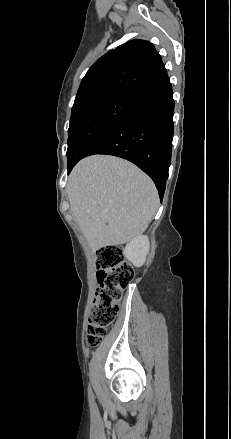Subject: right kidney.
Here are the masks:
<instances>
[{
    "label": "right kidney",
    "instance_id": "right-kidney-1",
    "mask_svg": "<svg viewBox=\"0 0 231 439\" xmlns=\"http://www.w3.org/2000/svg\"><path fill=\"white\" fill-rule=\"evenodd\" d=\"M149 248L148 236L140 235L126 245L123 254L134 266L141 267L146 260Z\"/></svg>",
    "mask_w": 231,
    "mask_h": 439
}]
</instances>
